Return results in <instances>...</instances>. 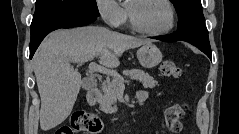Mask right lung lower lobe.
<instances>
[{"instance_id":"1","label":"right lung lower lobe","mask_w":239,"mask_h":134,"mask_svg":"<svg viewBox=\"0 0 239 134\" xmlns=\"http://www.w3.org/2000/svg\"><path fill=\"white\" fill-rule=\"evenodd\" d=\"M96 19L97 16L76 11H64L44 19L42 22L31 28L30 59L34 55L41 41L51 31L59 28L84 26L94 22Z\"/></svg>"}]
</instances>
